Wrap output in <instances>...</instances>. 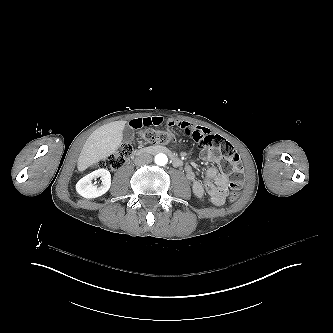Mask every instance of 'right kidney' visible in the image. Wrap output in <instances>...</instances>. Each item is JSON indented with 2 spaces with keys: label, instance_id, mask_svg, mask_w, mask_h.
<instances>
[{
  "label": "right kidney",
  "instance_id": "obj_1",
  "mask_svg": "<svg viewBox=\"0 0 333 333\" xmlns=\"http://www.w3.org/2000/svg\"><path fill=\"white\" fill-rule=\"evenodd\" d=\"M101 177L102 185L93 183V179ZM111 187L110 173L106 169H98L76 183V191L83 198L92 199L104 195Z\"/></svg>",
  "mask_w": 333,
  "mask_h": 333
}]
</instances>
